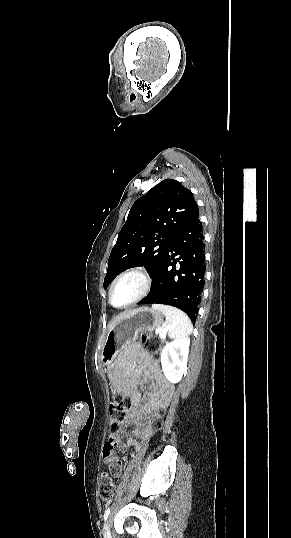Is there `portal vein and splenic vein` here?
<instances>
[{
    "instance_id": "obj_1",
    "label": "portal vein and splenic vein",
    "mask_w": 291,
    "mask_h": 538,
    "mask_svg": "<svg viewBox=\"0 0 291 538\" xmlns=\"http://www.w3.org/2000/svg\"><path fill=\"white\" fill-rule=\"evenodd\" d=\"M159 335H160L161 337H165V336H166V332L162 331V332L159 333Z\"/></svg>"
}]
</instances>
